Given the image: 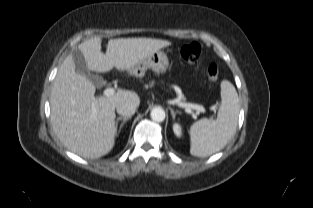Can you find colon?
I'll list each match as a JSON object with an SVG mask.
<instances>
[{
    "label": "colon",
    "mask_w": 313,
    "mask_h": 208,
    "mask_svg": "<svg viewBox=\"0 0 313 208\" xmlns=\"http://www.w3.org/2000/svg\"><path fill=\"white\" fill-rule=\"evenodd\" d=\"M181 56L189 63L201 68L204 74L212 81H216L219 76V71L214 63L205 65V54L202 46L196 42L186 44L181 49Z\"/></svg>",
    "instance_id": "colon-1"
}]
</instances>
